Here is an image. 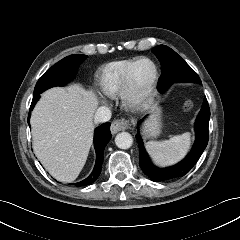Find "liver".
Instances as JSON below:
<instances>
[{
  "instance_id": "liver-1",
  "label": "liver",
  "mask_w": 240,
  "mask_h": 240,
  "mask_svg": "<svg viewBox=\"0 0 240 240\" xmlns=\"http://www.w3.org/2000/svg\"><path fill=\"white\" fill-rule=\"evenodd\" d=\"M98 99L79 84L45 91L31 115L34 152L58 181H74L84 167L93 139Z\"/></svg>"
}]
</instances>
